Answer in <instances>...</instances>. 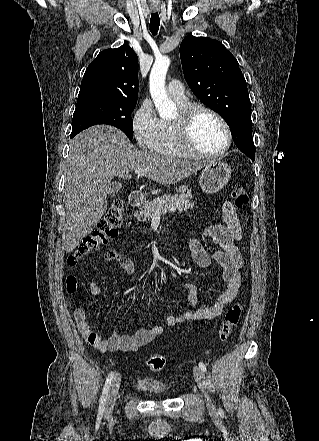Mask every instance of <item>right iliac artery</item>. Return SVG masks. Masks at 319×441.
<instances>
[{
    "mask_svg": "<svg viewBox=\"0 0 319 441\" xmlns=\"http://www.w3.org/2000/svg\"><path fill=\"white\" fill-rule=\"evenodd\" d=\"M113 378H114V372H111L108 375V377H107V379L105 381V385H104V388H103L102 396L100 398L99 410H98V415L100 417L104 413L105 405H106V401H107V396H108V391H109V388H110L111 383L113 381Z\"/></svg>",
    "mask_w": 319,
    "mask_h": 441,
    "instance_id": "right-iliac-artery-1",
    "label": "right iliac artery"
}]
</instances>
